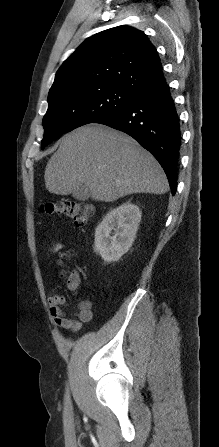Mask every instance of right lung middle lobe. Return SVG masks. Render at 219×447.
<instances>
[{
    "label": "right lung middle lobe",
    "instance_id": "obj_1",
    "mask_svg": "<svg viewBox=\"0 0 219 447\" xmlns=\"http://www.w3.org/2000/svg\"><path fill=\"white\" fill-rule=\"evenodd\" d=\"M137 97L112 85L67 88L48 95V110L43 118L44 137L41 149L75 128L95 123Z\"/></svg>",
    "mask_w": 219,
    "mask_h": 447
}]
</instances>
